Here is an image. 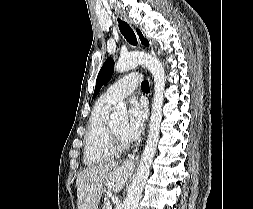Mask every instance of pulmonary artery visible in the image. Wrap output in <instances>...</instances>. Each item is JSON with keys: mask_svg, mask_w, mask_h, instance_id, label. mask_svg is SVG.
<instances>
[{"mask_svg": "<svg viewBox=\"0 0 253 209\" xmlns=\"http://www.w3.org/2000/svg\"><path fill=\"white\" fill-rule=\"evenodd\" d=\"M140 83L141 75L138 72L130 73L110 86L100 99L107 104L114 105L130 95Z\"/></svg>", "mask_w": 253, "mask_h": 209, "instance_id": "pulmonary-artery-1", "label": "pulmonary artery"}]
</instances>
